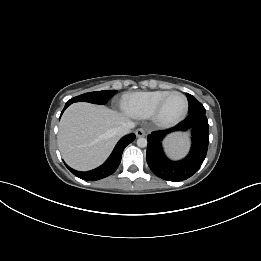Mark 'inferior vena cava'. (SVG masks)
Returning <instances> with one entry per match:
<instances>
[{"label":"inferior vena cava","instance_id":"obj_1","mask_svg":"<svg viewBox=\"0 0 261 261\" xmlns=\"http://www.w3.org/2000/svg\"><path fill=\"white\" fill-rule=\"evenodd\" d=\"M134 126V123L130 121L122 123L120 126L115 128V134L118 137L129 134L131 132V129L134 128Z\"/></svg>","mask_w":261,"mask_h":261}]
</instances>
